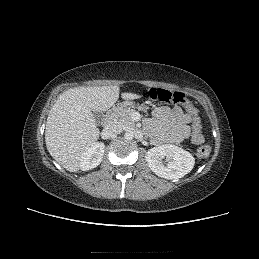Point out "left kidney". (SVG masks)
Instances as JSON below:
<instances>
[{
	"label": "left kidney",
	"mask_w": 259,
	"mask_h": 259,
	"mask_svg": "<svg viewBox=\"0 0 259 259\" xmlns=\"http://www.w3.org/2000/svg\"><path fill=\"white\" fill-rule=\"evenodd\" d=\"M145 159L152 172L169 180L182 178L193 169L195 163L188 151L169 144L149 149Z\"/></svg>",
	"instance_id": "left-kidney-1"
}]
</instances>
